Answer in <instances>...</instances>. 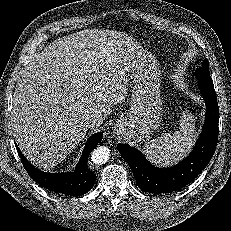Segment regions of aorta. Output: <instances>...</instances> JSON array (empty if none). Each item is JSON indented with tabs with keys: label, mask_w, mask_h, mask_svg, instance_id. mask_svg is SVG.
<instances>
[{
	"label": "aorta",
	"mask_w": 231,
	"mask_h": 231,
	"mask_svg": "<svg viewBox=\"0 0 231 231\" xmlns=\"http://www.w3.org/2000/svg\"><path fill=\"white\" fill-rule=\"evenodd\" d=\"M110 149L106 146H99L91 153V161L94 164L102 165L105 164L110 158Z\"/></svg>",
	"instance_id": "1"
}]
</instances>
